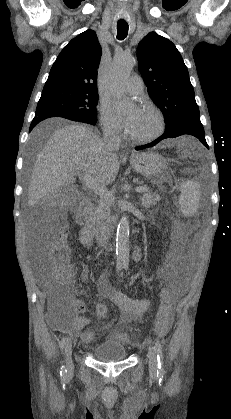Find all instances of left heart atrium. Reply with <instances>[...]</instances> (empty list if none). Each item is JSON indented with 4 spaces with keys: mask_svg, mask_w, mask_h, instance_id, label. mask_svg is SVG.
<instances>
[{
    "mask_svg": "<svg viewBox=\"0 0 231 419\" xmlns=\"http://www.w3.org/2000/svg\"><path fill=\"white\" fill-rule=\"evenodd\" d=\"M139 113L140 110H135L124 119V125L129 131L133 128Z\"/></svg>",
    "mask_w": 231,
    "mask_h": 419,
    "instance_id": "1",
    "label": "left heart atrium"
}]
</instances>
